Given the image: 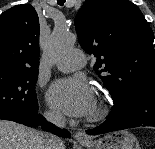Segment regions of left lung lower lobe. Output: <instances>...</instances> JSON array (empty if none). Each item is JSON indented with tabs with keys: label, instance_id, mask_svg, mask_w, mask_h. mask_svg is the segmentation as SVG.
Returning <instances> with one entry per match:
<instances>
[{
	"label": "left lung lower lobe",
	"instance_id": "0a47b994",
	"mask_svg": "<svg viewBox=\"0 0 155 149\" xmlns=\"http://www.w3.org/2000/svg\"><path fill=\"white\" fill-rule=\"evenodd\" d=\"M137 126H155V84L136 86L114 99L107 120L86 133L97 135Z\"/></svg>",
	"mask_w": 155,
	"mask_h": 149
}]
</instances>
